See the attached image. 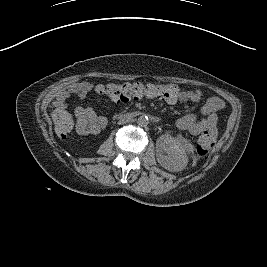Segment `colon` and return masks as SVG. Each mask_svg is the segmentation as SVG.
Wrapping results in <instances>:
<instances>
[{"mask_svg":"<svg viewBox=\"0 0 267 267\" xmlns=\"http://www.w3.org/2000/svg\"><path fill=\"white\" fill-rule=\"evenodd\" d=\"M96 91L112 101H129L143 96L158 98L167 102H176L181 96V89L170 84H142V83H109L96 86ZM76 118L77 115H75ZM53 127L56 135L66 138L74 127L71 115L65 110H57L53 114ZM215 137L207 132L199 134L196 152L199 156H206L214 145Z\"/></svg>","mask_w":267,"mask_h":267,"instance_id":"obj_1","label":"colon"}]
</instances>
